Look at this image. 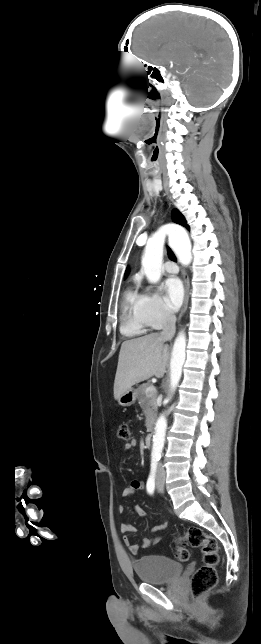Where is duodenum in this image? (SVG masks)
I'll use <instances>...</instances> for the list:
<instances>
[{"instance_id": "obj_1", "label": "duodenum", "mask_w": 261, "mask_h": 644, "mask_svg": "<svg viewBox=\"0 0 261 644\" xmlns=\"http://www.w3.org/2000/svg\"><path fill=\"white\" fill-rule=\"evenodd\" d=\"M152 439H153V435H152V434H147V435L145 436V438H144V445H145L146 447H150V446H151V444H152Z\"/></svg>"}]
</instances>
